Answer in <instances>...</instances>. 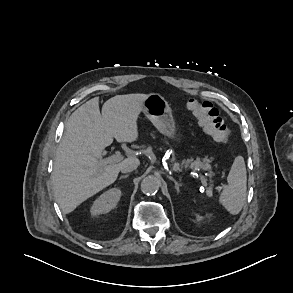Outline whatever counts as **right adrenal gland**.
Instances as JSON below:
<instances>
[{"label":"right adrenal gland","mask_w":293,"mask_h":293,"mask_svg":"<svg viewBox=\"0 0 293 293\" xmlns=\"http://www.w3.org/2000/svg\"><path fill=\"white\" fill-rule=\"evenodd\" d=\"M127 177H128V175L120 176L119 180L127 178Z\"/></svg>","instance_id":"obj_1"}]
</instances>
